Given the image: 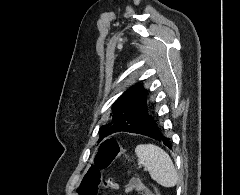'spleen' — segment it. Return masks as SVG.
Masks as SVG:
<instances>
[{"label": "spleen", "instance_id": "3e777b00", "mask_svg": "<svg viewBox=\"0 0 240 195\" xmlns=\"http://www.w3.org/2000/svg\"><path fill=\"white\" fill-rule=\"evenodd\" d=\"M138 161L147 167L152 179L164 187H173L178 181V175L173 161L159 145L140 143L135 147Z\"/></svg>", "mask_w": 240, "mask_h": 195}]
</instances>
